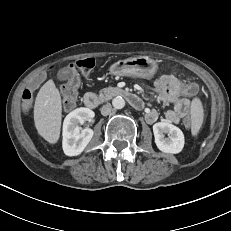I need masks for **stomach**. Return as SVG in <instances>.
<instances>
[{
	"instance_id": "1",
	"label": "stomach",
	"mask_w": 231,
	"mask_h": 231,
	"mask_svg": "<svg viewBox=\"0 0 231 231\" xmlns=\"http://www.w3.org/2000/svg\"><path fill=\"white\" fill-rule=\"evenodd\" d=\"M158 69L157 62L147 56L119 60L111 65L109 71L114 76L152 78Z\"/></svg>"
}]
</instances>
